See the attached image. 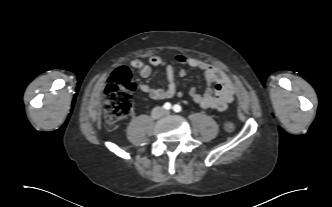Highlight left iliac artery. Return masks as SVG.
Here are the masks:
<instances>
[{
  "label": "left iliac artery",
  "mask_w": 332,
  "mask_h": 207,
  "mask_svg": "<svg viewBox=\"0 0 332 207\" xmlns=\"http://www.w3.org/2000/svg\"><path fill=\"white\" fill-rule=\"evenodd\" d=\"M182 110V107L179 104H175L173 106V111L174 112H180Z\"/></svg>",
  "instance_id": "obj_1"
}]
</instances>
